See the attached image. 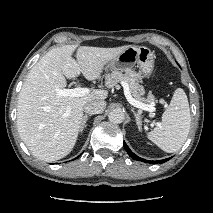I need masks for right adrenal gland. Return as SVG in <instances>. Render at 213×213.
<instances>
[{"label":"right adrenal gland","instance_id":"right-adrenal-gland-1","mask_svg":"<svg viewBox=\"0 0 213 213\" xmlns=\"http://www.w3.org/2000/svg\"><path fill=\"white\" fill-rule=\"evenodd\" d=\"M92 116L91 114H86L83 119H82V123H81V128L80 131L82 132L86 126V122L88 120V117Z\"/></svg>","mask_w":213,"mask_h":213}]
</instances>
